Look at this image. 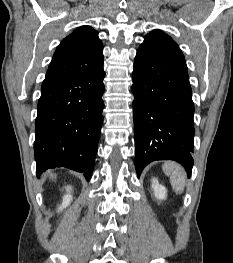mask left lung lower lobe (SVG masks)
<instances>
[{
  "instance_id": "1",
  "label": "left lung lower lobe",
  "mask_w": 233,
  "mask_h": 263,
  "mask_svg": "<svg viewBox=\"0 0 233 263\" xmlns=\"http://www.w3.org/2000/svg\"><path fill=\"white\" fill-rule=\"evenodd\" d=\"M135 166L154 160L193 167L194 104L185 58L175 42L144 39L134 61Z\"/></svg>"
}]
</instances>
